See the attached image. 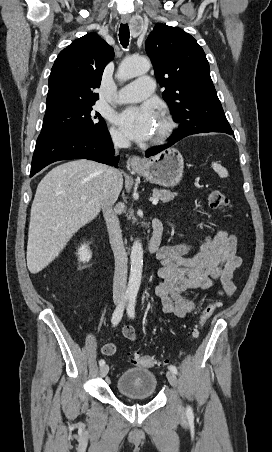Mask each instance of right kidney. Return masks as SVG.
<instances>
[{
	"instance_id": "obj_1",
	"label": "right kidney",
	"mask_w": 272,
	"mask_h": 452,
	"mask_svg": "<svg viewBox=\"0 0 272 452\" xmlns=\"http://www.w3.org/2000/svg\"><path fill=\"white\" fill-rule=\"evenodd\" d=\"M78 256H79V260L83 263L85 262H89V260L92 257V252L90 251L88 245H82L79 249H78Z\"/></svg>"
}]
</instances>
